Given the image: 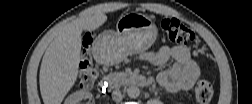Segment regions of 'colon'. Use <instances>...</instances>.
I'll use <instances>...</instances> for the list:
<instances>
[{
    "label": "colon",
    "mask_w": 252,
    "mask_h": 104,
    "mask_svg": "<svg viewBox=\"0 0 252 104\" xmlns=\"http://www.w3.org/2000/svg\"><path fill=\"white\" fill-rule=\"evenodd\" d=\"M160 27L168 41L173 43H189L196 38V34L175 18H166L160 22ZM92 35L86 33L83 38L82 62L77 78V85L81 89L90 88L97 78V70L90 56ZM213 86L206 79L197 81L194 93L198 102L208 103L213 97Z\"/></svg>",
    "instance_id": "5ec220e1"
}]
</instances>
